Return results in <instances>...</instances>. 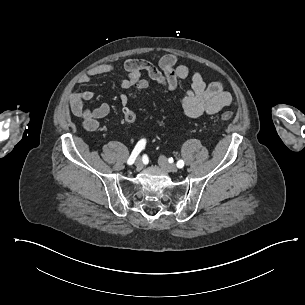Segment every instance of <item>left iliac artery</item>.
Returning <instances> with one entry per match:
<instances>
[{
	"label": "left iliac artery",
	"instance_id": "44dca946",
	"mask_svg": "<svg viewBox=\"0 0 305 305\" xmlns=\"http://www.w3.org/2000/svg\"><path fill=\"white\" fill-rule=\"evenodd\" d=\"M183 166H184L183 160H179V161L177 162V167H178V168H182Z\"/></svg>",
	"mask_w": 305,
	"mask_h": 305
}]
</instances>
